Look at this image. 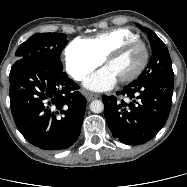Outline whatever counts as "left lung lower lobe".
<instances>
[{
  "mask_svg": "<svg viewBox=\"0 0 187 187\" xmlns=\"http://www.w3.org/2000/svg\"><path fill=\"white\" fill-rule=\"evenodd\" d=\"M174 80H154L127 85L115 96H102L107 125L114 138L127 145L151 140L168 119Z\"/></svg>",
  "mask_w": 187,
  "mask_h": 187,
  "instance_id": "0a47b994",
  "label": "left lung lower lobe"
}]
</instances>
